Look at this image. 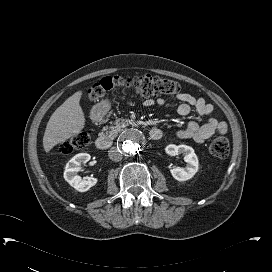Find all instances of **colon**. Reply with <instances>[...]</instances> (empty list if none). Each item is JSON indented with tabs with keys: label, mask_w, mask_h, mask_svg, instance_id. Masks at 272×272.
Here are the masks:
<instances>
[{
	"label": "colon",
	"mask_w": 272,
	"mask_h": 272,
	"mask_svg": "<svg viewBox=\"0 0 272 272\" xmlns=\"http://www.w3.org/2000/svg\"><path fill=\"white\" fill-rule=\"evenodd\" d=\"M127 88L133 89L144 97H157L161 95H174L179 90L177 82L158 76L148 74L124 78L120 76L104 77L95 83L90 90L92 100H97L113 89ZM90 141L89 132H79L71 141L65 142L61 146V153L68 154L74 148H82ZM210 153L216 157L224 158L229 154L230 143L227 137L217 136L210 144Z\"/></svg>",
	"instance_id": "5ec220e1"
}]
</instances>
